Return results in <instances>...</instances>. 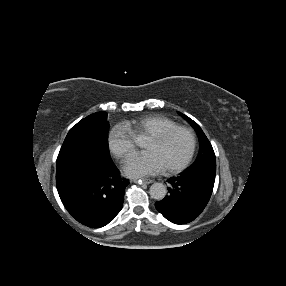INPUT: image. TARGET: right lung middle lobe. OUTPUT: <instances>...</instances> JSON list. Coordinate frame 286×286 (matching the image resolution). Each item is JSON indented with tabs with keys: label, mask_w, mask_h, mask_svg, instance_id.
<instances>
[{
	"label": "right lung middle lobe",
	"mask_w": 286,
	"mask_h": 286,
	"mask_svg": "<svg viewBox=\"0 0 286 286\" xmlns=\"http://www.w3.org/2000/svg\"><path fill=\"white\" fill-rule=\"evenodd\" d=\"M107 113L96 112L82 119L68 132L57 161L65 156L96 154L110 158Z\"/></svg>",
	"instance_id": "1"
}]
</instances>
